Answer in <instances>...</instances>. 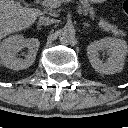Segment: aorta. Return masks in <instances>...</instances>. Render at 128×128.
Here are the masks:
<instances>
[{"label":"aorta","instance_id":"obj_1","mask_svg":"<svg viewBox=\"0 0 128 128\" xmlns=\"http://www.w3.org/2000/svg\"><path fill=\"white\" fill-rule=\"evenodd\" d=\"M75 37V30L70 26H65L60 30L59 39L62 43H70Z\"/></svg>","mask_w":128,"mask_h":128}]
</instances>
